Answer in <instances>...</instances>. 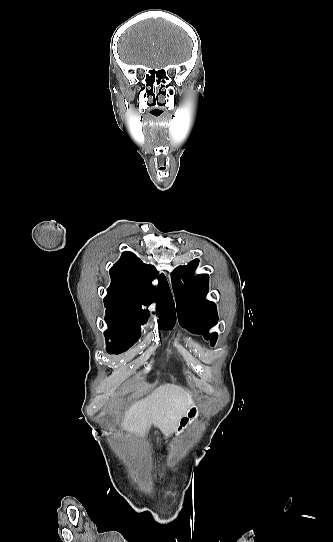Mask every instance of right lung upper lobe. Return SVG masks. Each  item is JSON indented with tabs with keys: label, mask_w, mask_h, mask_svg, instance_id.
Instances as JSON below:
<instances>
[{
	"label": "right lung upper lobe",
	"mask_w": 333,
	"mask_h": 542,
	"mask_svg": "<svg viewBox=\"0 0 333 542\" xmlns=\"http://www.w3.org/2000/svg\"><path fill=\"white\" fill-rule=\"evenodd\" d=\"M111 285L104 299L106 315L135 318L146 322L142 304L157 301L159 325L174 326V302L165 277L157 288L151 285L156 276L152 265L143 263L135 254L123 252L122 258L110 269Z\"/></svg>",
	"instance_id": "right-lung-upper-lobe-1"
}]
</instances>
